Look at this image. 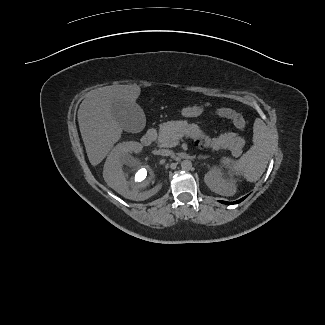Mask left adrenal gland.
<instances>
[{
    "label": "left adrenal gland",
    "instance_id": "a2214340",
    "mask_svg": "<svg viewBox=\"0 0 325 325\" xmlns=\"http://www.w3.org/2000/svg\"><path fill=\"white\" fill-rule=\"evenodd\" d=\"M208 157H209V156H206V155H205V156H203V155H199V156H198V159H206V158H208Z\"/></svg>",
    "mask_w": 325,
    "mask_h": 325
}]
</instances>
